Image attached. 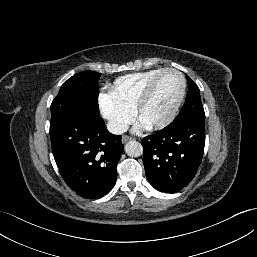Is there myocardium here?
<instances>
[{"label": "myocardium", "mask_w": 257, "mask_h": 257, "mask_svg": "<svg viewBox=\"0 0 257 257\" xmlns=\"http://www.w3.org/2000/svg\"><path fill=\"white\" fill-rule=\"evenodd\" d=\"M170 72L178 74L181 78L182 87H181L180 95H179L176 103L174 104L173 108L171 109V111L163 119L146 125L147 129H149V130L163 129L166 126H168L170 123H172V121L177 116L179 109L183 103V100H184V97L186 94V89H187L186 77L181 71H179L177 69L166 68V69H163L159 74H157L151 80V82L147 85V87L144 89V91L140 95V97L137 100L135 107H134L135 116L137 119H140L142 111H143L144 107L146 106V104L148 103V101L151 99L159 80L161 79V77L163 75H165L166 73H170Z\"/></svg>", "instance_id": "1"}]
</instances>
